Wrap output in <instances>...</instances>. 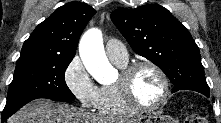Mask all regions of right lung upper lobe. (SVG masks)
Masks as SVG:
<instances>
[{"label": "right lung upper lobe", "instance_id": "1", "mask_svg": "<svg viewBox=\"0 0 221 123\" xmlns=\"http://www.w3.org/2000/svg\"><path fill=\"white\" fill-rule=\"evenodd\" d=\"M95 13L83 3L71 2L59 7L35 28L24 42L21 54L74 56L81 33Z\"/></svg>", "mask_w": 221, "mask_h": 123}]
</instances>
